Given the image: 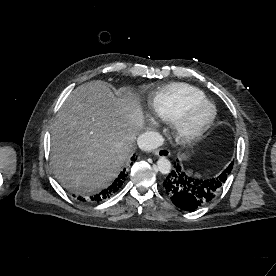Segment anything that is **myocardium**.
<instances>
[{"instance_id": "myocardium-1", "label": "myocardium", "mask_w": 276, "mask_h": 276, "mask_svg": "<svg viewBox=\"0 0 276 276\" xmlns=\"http://www.w3.org/2000/svg\"><path fill=\"white\" fill-rule=\"evenodd\" d=\"M204 106L211 109L210 117L203 124L193 127L190 123L192 113ZM216 115L215 106L208 100H199L189 104L181 116L173 122L175 136L183 144H193L199 141L213 124Z\"/></svg>"}]
</instances>
